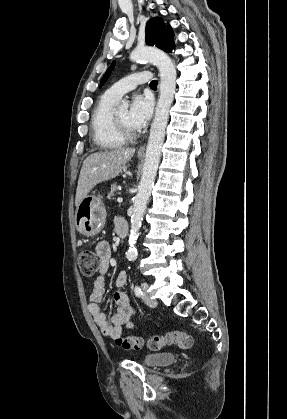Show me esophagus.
I'll return each instance as SVG.
<instances>
[{"label": "esophagus", "instance_id": "obj_1", "mask_svg": "<svg viewBox=\"0 0 287 419\" xmlns=\"http://www.w3.org/2000/svg\"><path fill=\"white\" fill-rule=\"evenodd\" d=\"M138 154H144L145 153V145H142L139 149H138Z\"/></svg>", "mask_w": 287, "mask_h": 419}]
</instances>
